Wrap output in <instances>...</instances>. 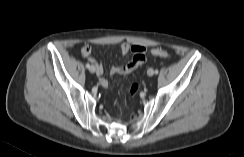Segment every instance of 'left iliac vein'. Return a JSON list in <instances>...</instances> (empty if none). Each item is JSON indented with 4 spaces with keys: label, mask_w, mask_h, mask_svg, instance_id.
<instances>
[{
    "label": "left iliac vein",
    "mask_w": 244,
    "mask_h": 157,
    "mask_svg": "<svg viewBox=\"0 0 244 157\" xmlns=\"http://www.w3.org/2000/svg\"><path fill=\"white\" fill-rule=\"evenodd\" d=\"M147 74L149 76H152L154 74V70L152 68H149L148 71H147Z\"/></svg>",
    "instance_id": "obj_1"
}]
</instances>
